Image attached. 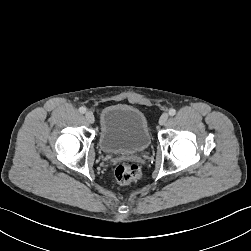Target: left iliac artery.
Returning <instances> with one entry per match:
<instances>
[{
  "label": "left iliac artery",
  "instance_id": "left-iliac-artery-1",
  "mask_svg": "<svg viewBox=\"0 0 251 251\" xmlns=\"http://www.w3.org/2000/svg\"><path fill=\"white\" fill-rule=\"evenodd\" d=\"M175 114H176V110L175 109L172 108V109L169 110V115L170 116H174Z\"/></svg>",
  "mask_w": 251,
  "mask_h": 251
}]
</instances>
